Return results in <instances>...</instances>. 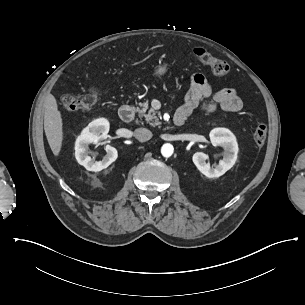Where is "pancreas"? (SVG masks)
Masks as SVG:
<instances>
[{"label": "pancreas", "instance_id": "pancreas-1", "mask_svg": "<svg viewBox=\"0 0 305 305\" xmlns=\"http://www.w3.org/2000/svg\"><path fill=\"white\" fill-rule=\"evenodd\" d=\"M139 106L141 108H137V112L140 119L145 118V121L153 127L161 124L158 118L160 113L152 108L148 110V102L139 103Z\"/></svg>", "mask_w": 305, "mask_h": 305}]
</instances>
